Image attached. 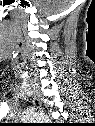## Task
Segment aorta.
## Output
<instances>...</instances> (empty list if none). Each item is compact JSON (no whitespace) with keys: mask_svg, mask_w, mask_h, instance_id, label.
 <instances>
[{"mask_svg":"<svg viewBox=\"0 0 95 126\" xmlns=\"http://www.w3.org/2000/svg\"><path fill=\"white\" fill-rule=\"evenodd\" d=\"M30 121H41L48 122L49 118L45 115L33 114L27 118Z\"/></svg>","mask_w":95,"mask_h":126,"instance_id":"aorta-1","label":"aorta"}]
</instances>
